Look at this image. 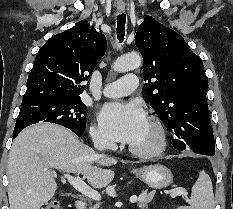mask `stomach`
<instances>
[{"label":"stomach","mask_w":233,"mask_h":209,"mask_svg":"<svg viewBox=\"0 0 233 209\" xmlns=\"http://www.w3.org/2000/svg\"><path fill=\"white\" fill-rule=\"evenodd\" d=\"M133 173L145 184L154 189H162L173 182V174L166 166L153 164L133 170Z\"/></svg>","instance_id":"1"}]
</instances>
